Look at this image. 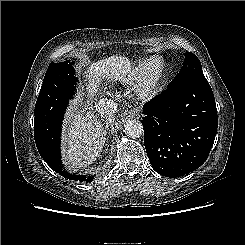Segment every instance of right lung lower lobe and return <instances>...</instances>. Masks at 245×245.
I'll return each instance as SVG.
<instances>
[{
	"instance_id": "obj_1",
	"label": "right lung lower lobe",
	"mask_w": 245,
	"mask_h": 245,
	"mask_svg": "<svg viewBox=\"0 0 245 245\" xmlns=\"http://www.w3.org/2000/svg\"><path fill=\"white\" fill-rule=\"evenodd\" d=\"M63 116L46 120L35 118L34 138L39 154L46 163L57 173L70 180L90 182L91 176L70 175L63 170L60 153V136Z\"/></svg>"
}]
</instances>
